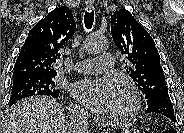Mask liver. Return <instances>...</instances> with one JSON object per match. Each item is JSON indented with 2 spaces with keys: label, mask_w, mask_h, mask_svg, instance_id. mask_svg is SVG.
<instances>
[{
  "label": "liver",
  "mask_w": 184,
  "mask_h": 133,
  "mask_svg": "<svg viewBox=\"0 0 184 133\" xmlns=\"http://www.w3.org/2000/svg\"><path fill=\"white\" fill-rule=\"evenodd\" d=\"M3 133H69L61 105L52 97L17 102L8 112Z\"/></svg>",
  "instance_id": "1"
}]
</instances>
